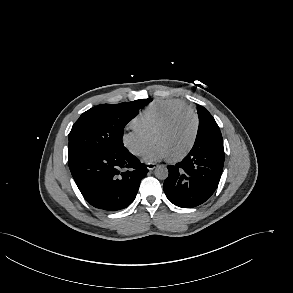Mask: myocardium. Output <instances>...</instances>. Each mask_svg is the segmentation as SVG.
I'll list each match as a JSON object with an SVG mask.
<instances>
[{"instance_id": "obj_1", "label": "myocardium", "mask_w": 293, "mask_h": 293, "mask_svg": "<svg viewBox=\"0 0 293 293\" xmlns=\"http://www.w3.org/2000/svg\"><path fill=\"white\" fill-rule=\"evenodd\" d=\"M184 115H191L194 120V132H193L192 140H191L190 144L188 145V147L182 153H180L179 155L173 156V157H169V160L172 162H178V161L183 160L193 150V148L196 144L197 138H198L199 127H200V120H199L198 114L191 108L179 110V111L173 113L171 116H169L162 124H160L151 135V139L153 140V138L158 133L169 128L178 118H180Z\"/></svg>"}]
</instances>
